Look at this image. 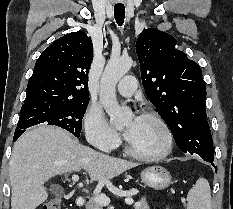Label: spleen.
Returning <instances> with one entry per match:
<instances>
[{"mask_svg": "<svg viewBox=\"0 0 233 209\" xmlns=\"http://www.w3.org/2000/svg\"><path fill=\"white\" fill-rule=\"evenodd\" d=\"M187 209H211V190L208 180L201 177L187 195Z\"/></svg>", "mask_w": 233, "mask_h": 209, "instance_id": "3e777b00", "label": "spleen"}]
</instances>
